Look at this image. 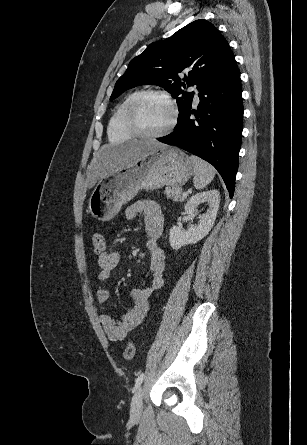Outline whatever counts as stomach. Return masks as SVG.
<instances>
[{"instance_id":"stomach-1","label":"stomach","mask_w":307,"mask_h":445,"mask_svg":"<svg viewBox=\"0 0 307 445\" xmlns=\"http://www.w3.org/2000/svg\"><path fill=\"white\" fill-rule=\"evenodd\" d=\"M192 172L190 156L179 148L148 150L132 166L115 168L100 178L89 198V210L98 220H111L139 190L183 186Z\"/></svg>"}]
</instances>
